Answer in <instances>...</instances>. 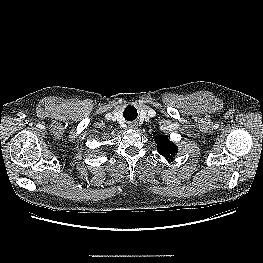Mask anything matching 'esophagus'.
<instances>
[{
  "mask_svg": "<svg viewBox=\"0 0 263 263\" xmlns=\"http://www.w3.org/2000/svg\"><path fill=\"white\" fill-rule=\"evenodd\" d=\"M128 126H129V128H131V129H136V128H137V123H136V122H129V123H128Z\"/></svg>",
  "mask_w": 263,
  "mask_h": 263,
  "instance_id": "1",
  "label": "esophagus"
}]
</instances>
